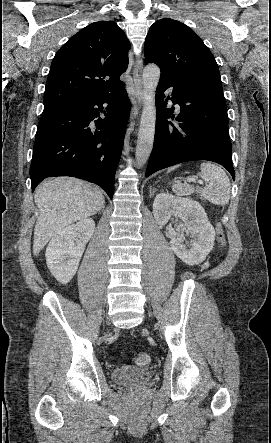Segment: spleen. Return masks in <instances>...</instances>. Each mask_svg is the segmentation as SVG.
I'll return each mask as SVG.
<instances>
[{
	"instance_id": "spleen-1",
	"label": "spleen",
	"mask_w": 271,
	"mask_h": 443,
	"mask_svg": "<svg viewBox=\"0 0 271 443\" xmlns=\"http://www.w3.org/2000/svg\"><path fill=\"white\" fill-rule=\"evenodd\" d=\"M175 168H179V166H174V168H169L167 170L172 172ZM201 172H199L198 176L206 182V186L204 188H200V186H190V184H174L172 186V190L176 196H191L194 192L212 202V204H216V206H226L230 200V180L220 168V166H216V164H209V162H205V164H201L200 166Z\"/></svg>"
}]
</instances>
